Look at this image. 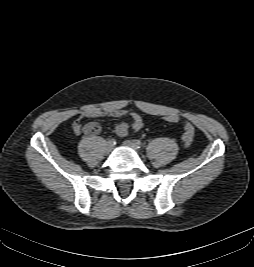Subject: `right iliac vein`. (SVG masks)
I'll return each mask as SVG.
<instances>
[{
  "mask_svg": "<svg viewBox=\"0 0 254 267\" xmlns=\"http://www.w3.org/2000/svg\"><path fill=\"white\" fill-rule=\"evenodd\" d=\"M113 148H114V145H110V144H108V146H107V148H106V152H107V153L111 152V151L113 150Z\"/></svg>",
  "mask_w": 254,
  "mask_h": 267,
  "instance_id": "1",
  "label": "right iliac vein"
}]
</instances>
